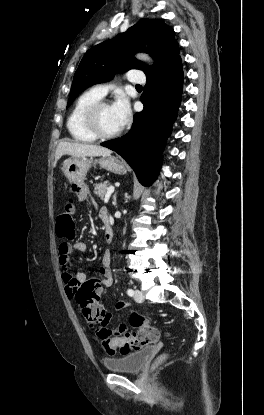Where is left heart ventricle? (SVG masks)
Segmentation results:
<instances>
[{
    "label": "left heart ventricle",
    "mask_w": 264,
    "mask_h": 415,
    "mask_svg": "<svg viewBox=\"0 0 264 415\" xmlns=\"http://www.w3.org/2000/svg\"><path fill=\"white\" fill-rule=\"evenodd\" d=\"M98 121L101 131L105 134L116 132L121 127L111 105H106L100 110Z\"/></svg>",
    "instance_id": "left-heart-ventricle-1"
}]
</instances>
